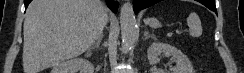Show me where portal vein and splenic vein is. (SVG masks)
Returning a JSON list of instances; mask_svg holds the SVG:
<instances>
[{
  "label": "portal vein and splenic vein",
  "instance_id": "portal-vein-and-splenic-vein-1",
  "mask_svg": "<svg viewBox=\"0 0 244 73\" xmlns=\"http://www.w3.org/2000/svg\"><path fill=\"white\" fill-rule=\"evenodd\" d=\"M168 36H169V37H172V36H173V33H169Z\"/></svg>",
  "mask_w": 244,
  "mask_h": 73
}]
</instances>
